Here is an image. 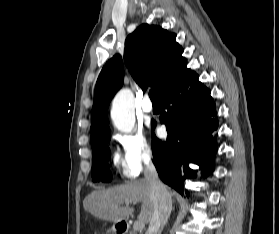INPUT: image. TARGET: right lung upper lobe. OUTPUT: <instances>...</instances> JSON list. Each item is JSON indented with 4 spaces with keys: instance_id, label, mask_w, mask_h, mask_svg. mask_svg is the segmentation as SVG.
Returning a JSON list of instances; mask_svg holds the SVG:
<instances>
[{
    "instance_id": "obj_1",
    "label": "right lung upper lobe",
    "mask_w": 279,
    "mask_h": 234,
    "mask_svg": "<svg viewBox=\"0 0 279 234\" xmlns=\"http://www.w3.org/2000/svg\"><path fill=\"white\" fill-rule=\"evenodd\" d=\"M175 39L176 34L148 24H142L127 37L124 62L143 90L148 85L155 86L160 96L187 69L183 49ZM122 84L123 61L120 55H115L105 64L96 83L91 145L110 134L107 110Z\"/></svg>"
}]
</instances>
